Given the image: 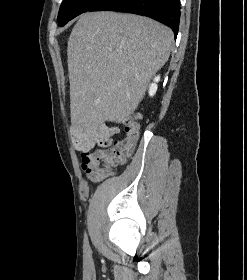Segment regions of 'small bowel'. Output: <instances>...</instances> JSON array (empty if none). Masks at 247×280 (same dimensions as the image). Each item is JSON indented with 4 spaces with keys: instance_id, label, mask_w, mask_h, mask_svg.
I'll return each mask as SVG.
<instances>
[{
    "instance_id": "1",
    "label": "small bowel",
    "mask_w": 247,
    "mask_h": 280,
    "mask_svg": "<svg viewBox=\"0 0 247 280\" xmlns=\"http://www.w3.org/2000/svg\"><path fill=\"white\" fill-rule=\"evenodd\" d=\"M120 129L107 123L93 124L90 126L73 125L72 135L76 149L83 157L94 151L96 147L104 148L112 142L113 136L117 135ZM92 180L98 177L90 175Z\"/></svg>"
}]
</instances>
